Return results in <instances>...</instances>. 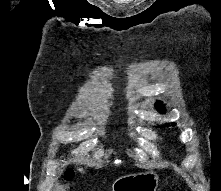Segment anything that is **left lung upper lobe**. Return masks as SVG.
I'll list each match as a JSON object with an SVG mask.
<instances>
[{
    "label": "left lung upper lobe",
    "mask_w": 221,
    "mask_h": 191,
    "mask_svg": "<svg viewBox=\"0 0 221 191\" xmlns=\"http://www.w3.org/2000/svg\"><path fill=\"white\" fill-rule=\"evenodd\" d=\"M156 108H157L160 112H162V113L165 112V107L162 105L161 102L156 103ZM172 125H175V124L172 123Z\"/></svg>",
    "instance_id": "1"
}]
</instances>
